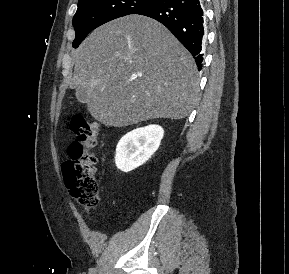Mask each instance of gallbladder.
Listing matches in <instances>:
<instances>
[{
    "mask_svg": "<svg viewBox=\"0 0 289 274\" xmlns=\"http://www.w3.org/2000/svg\"><path fill=\"white\" fill-rule=\"evenodd\" d=\"M75 95H76V98L78 99L79 102L86 103L87 93H86L85 89L77 88Z\"/></svg>",
    "mask_w": 289,
    "mask_h": 274,
    "instance_id": "gallbladder-1",
    "label": "gallbladder"
}]
</instances>
